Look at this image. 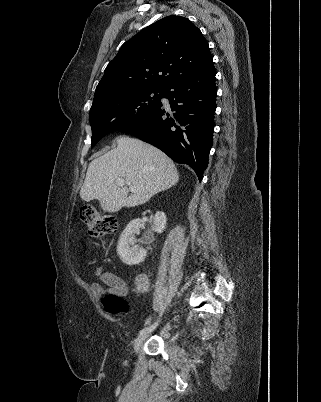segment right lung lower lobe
Returning a JSON list of instances; mask_svg holds the SVG:
<instances>
[{
	"label": "right lung lower lobe",
	"instance_id": "1",
	"mask_svg": "<svg viewBox=\"0 0 321 402\" xmlns=\"http://www.w3.org/2000/svg\"><path fill=\"white\" fill-rule=\"evenodd\" d=\"M215 75L212 63L178 78L163 93L173 114L166 113L161 104L151 114L118 131L156 146L178 163L188 164L201 181L213 144Z\"/></svg>",
	"mask_w": 321,
	"mask_h": 402
}]
</instances>
